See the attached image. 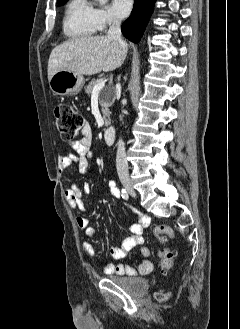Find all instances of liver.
Wrapping results in <instances>:
<instances>
[{
	"mask_svg": "<svg viewBox=\"0 0 240 329\" xmlns=\"http://www.w3.org/2000/svg\"><path fill=\"white\" fill-rule=\"evenodd\" d=\"M126 53V48L107 36L73 38L52 50L48 61V80L60 70L81 75L113 71L122 65Z\"/></svg>",
	"mask_w": 240,
	"mask_h": 329,
	"instance_id": "liver-1",
	"label": "liver"
}]
</instances>
